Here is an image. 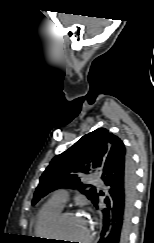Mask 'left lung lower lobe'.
<instances>
[{
    "mask_svg": "<svg viewBox=\"0 0 154 243\" xmlns=\"http://www.w3.org/2000/svg\"><path fill=\"white\" fill-rule=\"evenodd\" d=\"M101 179L107 186V193L98 191L92 202L101 210L103 217V228L98 243H128L136 178L131 157L125 147L107 157Z\"/></svg>",
    "mask_w": 154,
    "mask_h": 243,
    "instance_id": "left-lung-lower-lobe-1",
    "label": "left lung lower lobe"
}]
</instances>
